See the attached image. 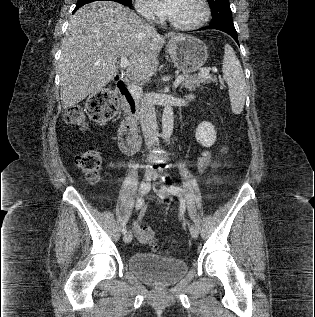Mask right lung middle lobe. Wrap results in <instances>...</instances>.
Instances as JSON below:
<instances>
[{
    "mask_svg": "<svg viewBox=\"0 0 315 317\" xmlns=\"http://www.w3.org/2000/svg\"><path fill=\"white\" fill-rule=\"evenodd\" d=\"M94 1H98V0H78L77 5H85L87 3L94 2ZM110 1H115L126 6H131V0H110Z\"/></svg>",
    "mask_w": 315,
    "mask_h": 317,
    "instance_id": "obj_1",
    "label": "right lung middle lobe"
}]
</instances>
